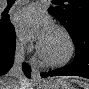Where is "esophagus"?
Segmentation results:
<instances>
[{
    "instance_id": "34e87169",
    "label": "esophagus",
    "mask_w": 89,
    "mask_h": 89,
    "mask_svg": "<svg viewBox=\"0 0 89 89\" xmlns=\"http://www.w3.org/2000/svg\"><path fill=\"white\" fill-rule=\"evenodd\" d=\"M32 79L33 80L39 79V72L35 67H32Z\"/></svg>"
}]
</instances>
